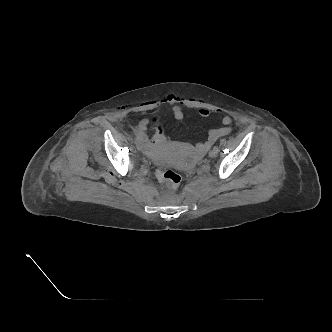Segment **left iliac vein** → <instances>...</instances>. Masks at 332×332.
Listing matches in <instances>:
<instances>
[{
    "instance_id": "left-iliac-vein-1",
    "label": "left iliac vein",
    "mask_w": 332,
    "mask_h": 332,
    "mask_svg": "<svg viewBox=\"0 0 332 332\" xmlns=\"http://www.w3.org/2000/svg\"><path fill=\"white\" fill-rule=\"evenodd\" d=\"M216 156H217V152H216V151L211 150V151L209 152V157H210V158H215Z\"/></svg>"
}]
</instances>
